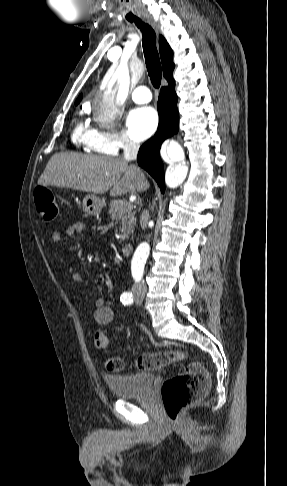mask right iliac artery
<instances>
[{
	"mask_svg": "<svg viewBox=\"0 0 287 486\" xmlns=\"http://www.w3.org/2000/svg\"><path fill=\"white\" fill-rule=\"evenodd\" d=\"M121 299H129V300H132V293L131 292H124L122 295H121Z\"/></svg>",
	"mask_w": 287,
	"mask_h": 486,
	"instance_id": "obj_1",
	"label": "right iliac artery"
}]
</instances>
